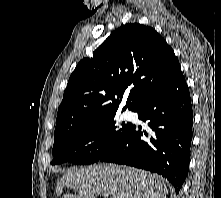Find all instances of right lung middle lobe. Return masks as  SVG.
Here are the masks:
<instances>
[{
    "label": "right lung middle lobe",
    "instance_id": "obj_1",
    "mask_svg": "<svg viewBox=\"0 0 221 198\" xmlns=\"http://www.w3.org/2000/svg\"><path fill=\"white\" fill-rule=\"evenodd\" d=\"M115 114L54 138L52 165L63 162L86 165L98 161L125 137L131 123L118 124Z\"/></svg>",
    "mask_w": 221,
    "mask_h": 198
}]
</instances>
